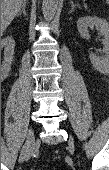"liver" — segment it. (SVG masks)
Returning <instances> with one entry per match:
<instances>
[{"instance_id": "obj_1", "label": "liver", "mask_w": 109, "mask_h": 170, "mask_svg": "<svg viewBox=\"0 0 109 170\" xmlns=\"http://www.w3.org/2000/svg\"><path fill=\"white\" fill-rule=\"evenodd\" d=\"M24 0H1V30L4 31L17 13Z\"/></svg>"}]
</instances>
